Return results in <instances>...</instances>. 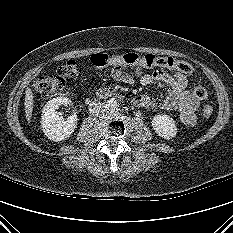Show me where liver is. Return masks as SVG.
<instances>
[{
	"mask_svg": "<svg viewBox=\"0 0 233 233\" xmlns=\"http://www.w3.org/2000/svg\"><path fill=\"white\" fill-rule=\"evenodd\" d=\"M34 96L33 93L31 91V89L28 87L26 89V93H25V113H26V119L28 121L31 120L32 117V111H33V106H34Z\"/></svg>",
	"mask_w": 233,
	"mask_h": 233,
	"instance_id": "liver-1",
	"label": "liver"
}]
</instances>
